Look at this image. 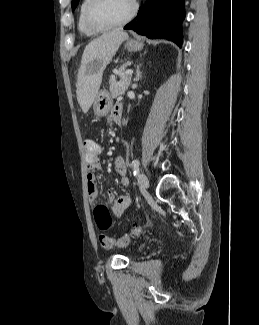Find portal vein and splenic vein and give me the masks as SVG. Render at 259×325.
<instances>
[{
  "label": "portal vein and splenic vein",
  "instance_id": "portal-vein-and-splenic-vein-1",
  "mask_svg": "<svg viewBox=\"0 0 259 325\" xmlns=\"http://www.w3.org/2000/svg\"><path fill=\"white\" fill-rule=\"evenodd\" d=\"M127 75H131L132 73H133V70L132 69H128V70H126V72H125Z\"/></svg>",
  "mask_w": 259,
  "mask_h": 325
}]
</instances>
